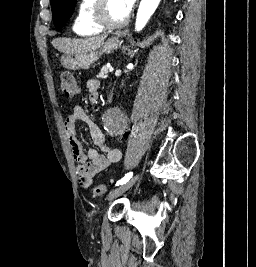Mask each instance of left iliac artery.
<instances>
[{"instance_id": "44dca946", "label": "left iliac artery", "mask_w": 256, "mask_h": 267, "mask_svg": "<svg viewBox=\"0 0 256 267\" xmlns=\"http://www.w3.org/2000/svg\"><path fill=\"white\" fill-rule=\"evenodd\" d=\"M132 175H133L132 172L127 173L122 179L117 181L116 186H119L121 184L128 182L132 178Z\"/></svg>"}]
</instances>
